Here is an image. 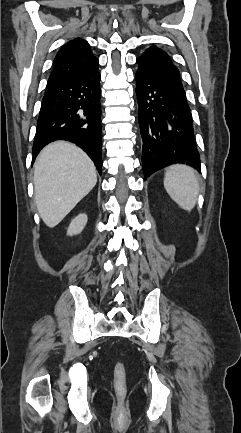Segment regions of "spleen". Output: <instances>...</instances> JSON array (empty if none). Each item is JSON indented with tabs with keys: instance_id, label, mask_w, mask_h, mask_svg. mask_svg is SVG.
Here are the masks:
<instances>
[{
	"instance_id": "spleen-1",
	"label": "spleen",
	"mask_w": 241,
	"mask_h": 433,
	"mask_svg": "<svg viewBox=\"0 0 241 433\" xmlns=\"http://www.w3.org/2000/svg\"><path fill=\"white\" fill-rule=\"evenodd\" d=\"M164 187L171 199L183 210L190 212L195 207L199 182L191 167L182 164L170 166L165 173Z\"/></svg>"
}]
</instances>
